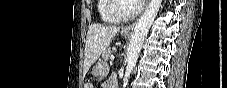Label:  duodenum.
<instances>
[{
	"label": "duodenum",
	"mask_w": 227,
	"mask_h": 88,
	"mask_svg": "<svg viewBox=\"0 0 227 88\" xmlns=\"http://www.w3.org/2000/svg\"><path fill=\"white\" fill-rule=\"evenodd\" d=\"M117 84V79L113 80V86Z\"/></svg>",
	"instance_id": "obj_1"
}]
</instances>
